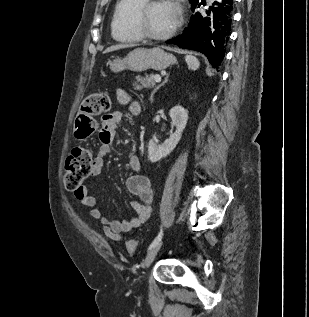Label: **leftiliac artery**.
Masks as SVG:
<instances>
[{"label": "left iliac artery", "instance_id": "1", "mask_svg": "<svg viewBox=\"0 0 309 317\" xmlns=\"http://www.w3.org/2000/svg\"><path fill=\"white\" fill-rule=\"evenodd\" d=\"M163 236V229H160L159 234L157 235V237L153 240V242L150 244L148 250H150L153 246H155L157 243H159L162 239Z\"/></svg>", "mask_w": 309, "mask_h": 317}]
</instances>
